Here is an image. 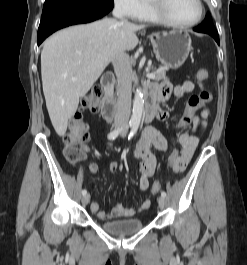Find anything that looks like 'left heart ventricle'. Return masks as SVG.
Returning a JSON list of instances; mask_svg holds the SVG:
<instances>
[{"instance_id": "b2bd125f", "label": "left heart ventricle", "mask_w": 247, "mask_h": 265, "mask_svg": "<svg viewBox=\"0 0 247 265\" xmlns=\"http://www.w3.org/2000/svg\"><path fill=\"white\" fill-rule=\"evenodd\" d=\"M169 16L178 23L193 21L199 12L197 0H167Z\"/></svg>"}]
</instances>
